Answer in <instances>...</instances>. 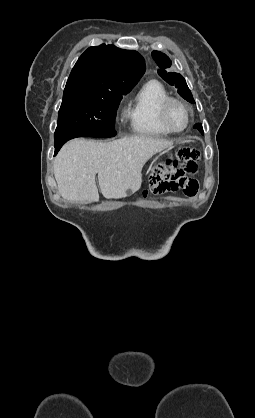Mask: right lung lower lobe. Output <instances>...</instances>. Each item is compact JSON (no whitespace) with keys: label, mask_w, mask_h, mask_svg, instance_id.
<instances>
[{"label":"right lung lower lobe","mask_w":255,"mask_h":418,"mask_svg":"<svg viewBox=\"0 0 255 418\" xmlns=\"http://www.w3.org/2000/svg\"><path fill=\"white\" fill-rule=\"evenodd\" d=\"M68 140H62L59 142H55V154H57V152L60 150V148L63 146L64 143H66Z\"/></svg>","instance_id":"right-lung-lower-lobe-1"}]
</instances>
